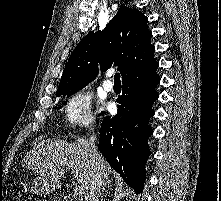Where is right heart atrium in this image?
<instances>
[{"label": "right heart atrium", "mask_w": 221, "mask_h": 201, "mask_svg": "<svg viewBox=\"0 0 221 201\" xmlns=\"http://www.w3.org/2000/svg\"><path fill=\"white\" fill-rule=\"evenodd\" d=\"M63 112L67 123L72 127L89 126L95 121L91 96L85 91L73 93L66 101Z\"/></svg>", "instance_id": "right-heart-atrium-1"}]
</instances>
